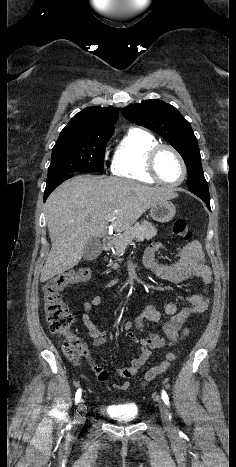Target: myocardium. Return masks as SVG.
Masks as SVG:
<instances>
[{
	"instance_id": "obj_1",
	"label": "myocardium",
	"mask_w": 236,
	"mask_h": 467,
	"mask_svg": "<svg viewBox=\"0 0 236 467\" xmlns=\"http://www.w3.org/2000/svg\"><path fill=\"white\" fill-rule=\"evenodd\" d=\"M163 150H169L170 152H172L176 157L177 159L179 160L180 164H181V167H182V177L179 181L175 182V183H169V182H166L164 181L159 172H158V169H157V161H158V157L160 155V153L163 151ZM147 170H148V173L150 174V176L158 183L162 184V185H165V186H168V187H177V186H180L186 179L187 177V165H186V162L183 158V156L180 154V152L174 148L173 146L171 145H168V144H158L156 146H154L152 149H150V151L148 152V156H147Z\"/></svg>"
}]
</instances>
